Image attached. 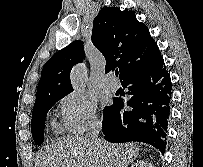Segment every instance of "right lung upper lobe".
<instances>
[{
	"instance_id": "cb5924a9",
	"label": "right lung upper lobe",
	"mask_w": 203,
	"mask_h": 167,
	"mask_svg": "<svg viewBox=\"0 0 203 167\" xmlns=\"http://www.w3.org/2000/svg\"><path fill=\"white\" fill-rule=\"evenodd\" d=\"M92 42L106 59L105 72L118 68L120 80L155 65L162 56L148 27L132 11L118 7L101 9L93 21ZM85 58L83 42L74 41L58 51L44 65L38 83L37 104L73 91L70 71Z\"/></svg>"
}]
</instances>
